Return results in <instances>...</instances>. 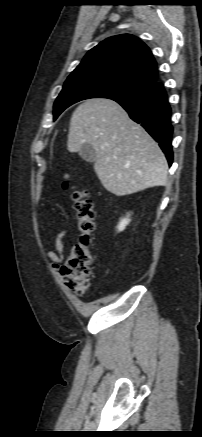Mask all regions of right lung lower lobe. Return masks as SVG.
I'll return each mask as SVG.
<instances>
[{"label": "right lung lower lobe", "instance_id": "1", "mask_svg": "<svg viewBox=\"0 0 202 437\" xmlns=\"http://www.w3.org/2000/svg\"><path fill=\"white\" fill-rule=\"evenodd\" d=\"M113 100L118 102L128 112L130 118L140 123L159 143L171 165L173 127L170 120L171 108L163 84L156 82L143 93Z\"/></svg>", "mask_w": 202, "mask_h": 437}]
</instances>
